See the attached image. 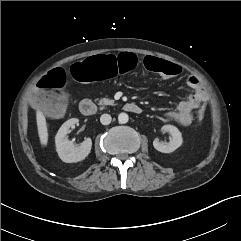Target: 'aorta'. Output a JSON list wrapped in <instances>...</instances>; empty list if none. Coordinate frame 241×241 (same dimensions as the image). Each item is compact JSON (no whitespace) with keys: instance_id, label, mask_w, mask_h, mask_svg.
I'll return each mask as SVG.
<instances>
[{"instance_id":"obj_1","label":"aorta","mask_w":241,"mask_h":241,"mask_svg":"<svg viewBox=\"0 0 241 241\" xmlns=\"http://www.w3.org/2000/svg\"><path fill=\"white\" fill-rule=\"evenodd\" d=\"M128 120H129L128 114H126V113L123 112V113H120V114L118 115V121H119V123L125 124V123L128 122Z\"/></svg>"}]
</instances>
